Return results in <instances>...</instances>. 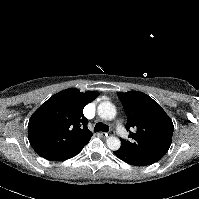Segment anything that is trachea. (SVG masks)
I'll return each mask as SVG.
<instances>
[{
	"label": "trachea",
	"mask_w": 199,
	"mask_h": 199,
	"mask_svg": "<svg viewBox=\"0 0 199 199\" xmlns=\"http://www.w3.org/2000/svg\"><path fill=\"white\" fill-rule=\"evenodd\" d=\"M99 131L108 132L109 126L99 122L95 125L94 132H99Z\"/></svg>",
	"instance_id": "obj_1"
}]
</instances>
